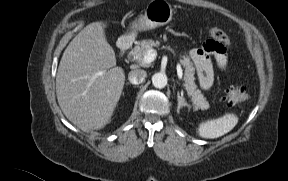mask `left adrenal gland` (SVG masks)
<instances>
[{"instance_id":"obj_1","label":"left adrenal gland","mask_w":288,"mask_h":181,"mask_svg":"<svg viewBox=\"0 0 288 181\" xmlns=\"http://www.w3.org/2000/svg\"><path fill=\"white\" fill-rule=\"evenodd\" d=\"M177 100H178V111L180 110V108L182 107H188L190 108L191 106L185 101V98H183V93H181V96H180V93L178 92L177 93Z\"/></svg>"}]
</instances>
